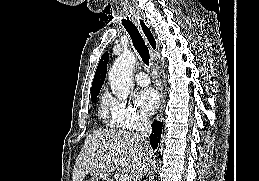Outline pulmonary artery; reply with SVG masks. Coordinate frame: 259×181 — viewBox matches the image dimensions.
I'll return each instance as SVG.
<instances>
[{
    "label": "pulmonary artery",
    "instance_id": "1",
    "mask_svg": "<svg viewBox=\"0 0 259 181\" xmlns=\"http://www.w3.org/2000/svg\"><path fill=\"white\" fill-rule=\"evenodd\" d=\"M135 81L140 86H147L150 83V79L145 71H139L135 75Z\"/></svg>",
    "mask_w": 259,
    "mask_h": 181
}]
</instances>
